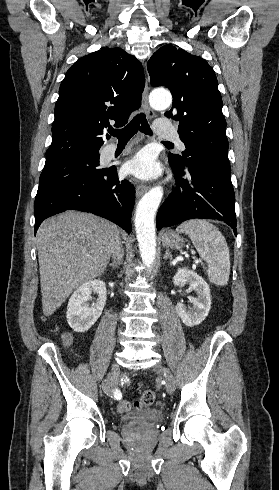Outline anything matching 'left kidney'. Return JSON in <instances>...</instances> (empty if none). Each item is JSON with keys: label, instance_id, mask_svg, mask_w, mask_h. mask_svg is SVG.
I'll use <instances>...</instances> for the list:
<instances>
[{"label": "left kidney", "instance_id": "obj_1", "mask_svg": "<svg viewBox=\"0 0 279 490\" xmlns=\"http://www.w3.org/2000/svg\"><path fill=\"white\" fill-rule=\"evenodd\" d=\"M174 286H185L188 284L189 290H195L197 298L191 300L193 308H187L184 302H178L176 312L185 326H198L207 318L211 310L210 288L196 272L188 268H179L173 278Z\"/></svg>", "mask_w": 279, "mask_h": 490}]
</instances>
